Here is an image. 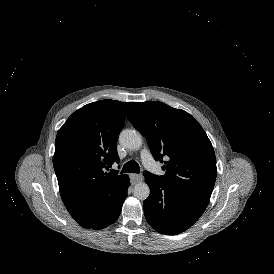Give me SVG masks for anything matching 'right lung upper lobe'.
<instances>
[{"label":"right lung upper lobe","instance_id":"obj_1","mask_svg":"<svg viewBox=\"0 0 274 274\" xmlns=\"http://www.w3.org/2000/svg\"><path fill=\"white\" fill-rule=\"evenodd\" d=\"M132 104L110 99L87 104L59 129L53 165L62 200L73 218L95 212L128 176L105 169L119 162L117 140Z\"/></svg>","mask_w":274,"mask_h":274}]
</instances>
